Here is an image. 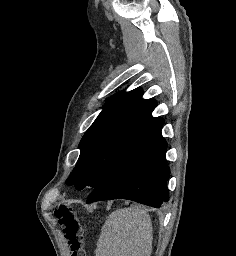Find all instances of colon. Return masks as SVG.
<instances>
[{"mask_svg":"<svg viewBox=\"0 0 236 256\" xmlns=\"http://www.w3.org/2000/svg\"><path fill=\"white\" fill-rule=\"evenodd\" d=\"M55 217L69 245L71 256H87L84 250L83 234L77 207L67 203H60L55 210Z\"/></svg>","mask_w":236,"mask_h":256,"instance_id":"1","label":"colon"}]
</instances>
